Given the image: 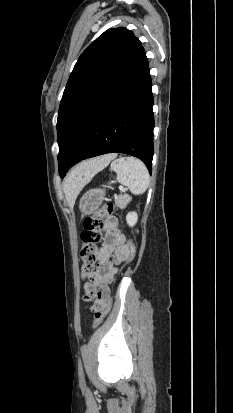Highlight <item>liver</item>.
Segmentation results:
<instances>
[{
	"label": "liver",
	"mask_w": 233,
	"mask_h": 413,
	"mask_svg": "<svg viewBox=\"0 0 233 413\" xmlns=\"http://www.w3.org/2000/svg\"><path fill=\"white\" fill-rule=\"evenodd\" d=\"M114 157V154L97 157L82 162L72 170L63 184L66 200L70 207L74 205L82 188L90 182L97 172L105 168Z\"/></svg>",
	"instance_id": "obj_1"
}]
</instances>
